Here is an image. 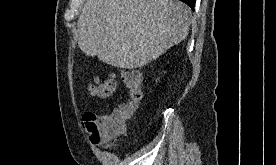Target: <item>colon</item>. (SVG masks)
<instances>
[{"label": "colon", "mask_w": 276, "mask_h": 165, "mask_svg": "<svg viewBox=\"0 0 276 165\" xmlns=\"http://www.w3.org/2000/svg\"><path fill=\"white\" fill-rule=\"evenodd\" d=\"M123 81L130 92V100L113 110L110 114L99 117L93 112H86L82 116L83 125L95 144L108 142L116 135L126 130L139 101L143 97L141 74L135 70H128L123 74ZM116 88V81L110 77L104 80L96 78L89 86L92 95L99 98H109Z\"/></svg>", "instance_id": "obj_1"}]
</instances>
